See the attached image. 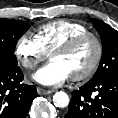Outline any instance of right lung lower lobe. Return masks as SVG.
Here are the masks:
<instances>
[{
    "label": "right lung lower lobe",
    "instance_id": "obj_1",
    "mask_svg": "<svg viewBox=\"0 0 118 118\" xmlns=\"http://www.w3.org/2000/svg\"><path fill=\"white\" fill-rule=\"evenodd\" d=\"M24 76L16 67H0V118H25L37 94L35 86L21 83Z\"/></svg>",
    "mask_w": 118,
    "mask_h": 118
}]
</instances>
